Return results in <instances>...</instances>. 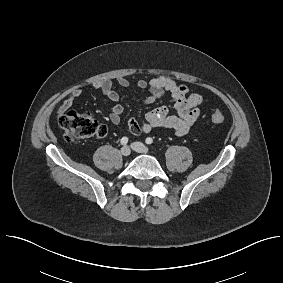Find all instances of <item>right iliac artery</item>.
Returning <instances> with one entry per match:
<instances>
[{
	"label": "right iliac artery",
	"instance_id": "obj_1",
	"mask_svg": "<svg viewBox=\"0 0 283 283\" xmlns=\"http://www.w3.org/2000/svg\"><path fill=\"white\" fill-rule=\"evenodd\" d=\"M128 143V138L127 137H123L122 139H121V144L122 145H126Z\"/></svg>",
	"mask_w": 283,
	"mask_h": 283
}]
</instances>
